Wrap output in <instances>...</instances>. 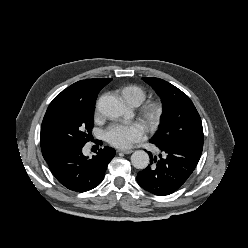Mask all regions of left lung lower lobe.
Returning a JSON list of instances; mask_svg holds the SVG:
<instances>
[{
    "instance_id": "left-lung-lower-lobe-1",
    "label": "left lung lower lobe",
    "mask_w": 248,
    "mask_h": 248,
    "mask_svg": "<svg viewBox=\"0 0 248 248\" xmlns=\"http://www.w3.org/2000/svg\"><path fill=\"white\" fill-rule=\"evenodd\" d=\"M153 144L160 149L163 155L160 154V158L157 159L148 152L150 165L138 172V184L144 190L155 195L172 194L185 183L194 171L203 147L189 143Z\"/></svg>"
}]
</instances>
